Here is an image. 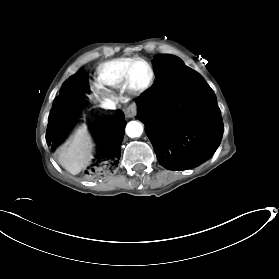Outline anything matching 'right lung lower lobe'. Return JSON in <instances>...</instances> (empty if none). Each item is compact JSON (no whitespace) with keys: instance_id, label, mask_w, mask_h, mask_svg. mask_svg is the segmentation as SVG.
I'll list each match as a JSON object with an SVG mask.
<instances>
[{"instance_id":"98d812e1","label":"right lung lower lobe","mask_w":279,"mask_h":279,"mask_svg":"<svg viewBox=\"0 0 279 279\" xmlns=\"http://www.w3.org/2000/svg\"><path fill=\"white\" fill-rule=\"evenodd\" d=\"M88 87L86 73L73 75L63 83L60 95L55 98L50 110L46 132V141L52 151L69 134L78 116L80 104ZM86 102L88 103V101ZM117 112V115L102 118L94 125L97 130L98 126H101L102 133H99V136L103 142V150L95 154V158L83 169V174L99 176L110 169V165L120 159V145L124 136L126 122L123 113L120 110Z\"/></svg>"}]
</instances>
